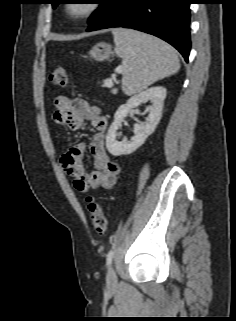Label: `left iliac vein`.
I'll use <instances>...</instances> for the list:
<instances>
[{"label":"left iliac vein","instance_id":"obj_1","mask_svg":"<svg viewBox=\"0 0 236 321\" xmlns=\"http://www.w3.org/2000/svg\"><path fill=\"white\" fill-rule=\"evenodd\" d=\"M107 283L109 286H114L117 283V275H116V272L112 266L108 270Z\"/></svg>","mask_w":236,"mask_h":321}]
</instances>
